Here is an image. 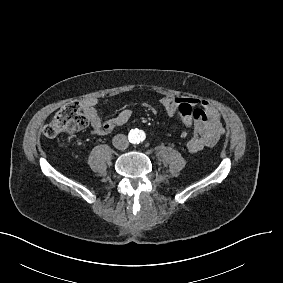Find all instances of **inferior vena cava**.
<instances>
[{
  "instance_id": "inferior-vena-cava-1",
  "label": "inferior vena cava",
  "mask_w": 283,
  "mask_h": 283,
  "mask_svg": "<svg viewBox=\"0 0 283 283\" xmlns=\"http://www.w3.org/2000/svg\"><path fill=\"white\" fill-rule=\"evenodd\" d=\"M112 143H113V146L118 150H125L129 146V142L127 140V137L124 134L115 135L113 137Z\"/></svg>"
}]
</instances>
